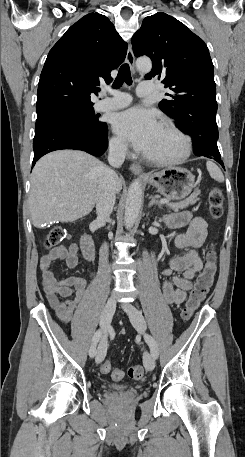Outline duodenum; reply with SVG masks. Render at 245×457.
Here are the masks:
<instances>
[{"label":"duodenum","instance_id":"1","mask_svg":"<svg viewBox=\"0 0 245 457\" xmlns=\"http://www.w3.org/2000/svg\"><path fill=\"white\" fill-rule=\"evenodd\" d=\"M81 247L85 258L92 261L95 257V246L92 237L85 234L81 239Z\"/></svg>","mask_w":245,"mask_h":457}]
</instances>
